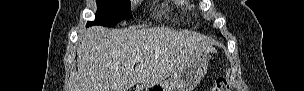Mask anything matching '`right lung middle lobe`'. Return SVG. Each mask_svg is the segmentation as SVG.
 I'll use <instances>...</instances> for the list:
<instances>
[{
	"label": "right lung middle lobe",
	"mask_w": 304,
	"mask_h": 91,
	"mask_svg": "<svg viewBox=\"0 0 304 91\" xmlns=\"http://www.w3.org/2000/svg\"><path fill=\"white\" fill-rule=\"evenodd\" d=\"M97 6L96 24L115 26L122 19L132 18L129 0H97Z\"/></svg>",
	"instance_id": "1"
}]
</instances>
